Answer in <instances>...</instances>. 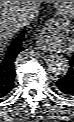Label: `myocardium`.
<instances>
[{
    "label": "myocardium",
    "mask_w": 74,
    "mask_h": 122,
    "mask_svg": "<svg viewBox=\"0 0 74 122\" xmlns=\"http://www.w3.org/2000/svg\"><path fill=\"white\" fill-rule=\"evenodd\" d=\"M61 2V9L66 12L70 13L74 11V1H58Z\"/></svg>",
    "instance_id": "f54148a6"
}]
</instances>
